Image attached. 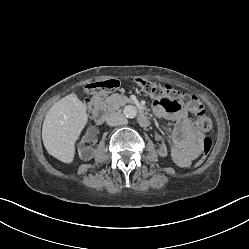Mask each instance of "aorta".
<instances>
[{
  "label": "aorta",
  "instance_id": "762f6f07",
  "mask_svg": "<svg viewBox=\"0 0 249 249\" xmlns=\"http://www.w3.org/2000/svg\"><path fill=\"white\" fill-rule=\"evenodd\" d=\"M123 114L127 118H134L137 115V109L135 106L127 105L123 109Z\"/></svg>",
  "mask_w": 249,
  "mask_h": 249
}]
</instances>
